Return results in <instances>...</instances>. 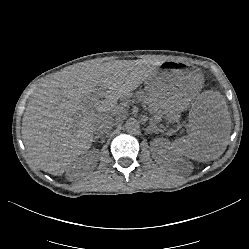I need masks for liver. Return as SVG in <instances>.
Masks as SVG:
<instances>
[{
    "instance_id": "obj_1",
    "label": "liver",
    "mask_w": 249,
    "mask_h": 249,
    "mask_svg": "<svg viewBox=\"0 0 249 249\" xmlns=\"http://www.w3.org/2000/svg\"><path fill=\"white\" fill-rule=\"evenodd\" d=\"M152 76L148 67H69L35 86L22 118L23 142L33 164L55 176L76 171L75 159L86 153L93 142L92 125L102 115L117 108L118 100L130 95ZM104 100L96 101L95 94ZM162 92H150L166 114L179 122L188 104L174 107L160 98ZM96 102L95 110H87ZM190 134L175 140L172 155H185L201 162L219 158L229 142L231 118L224 98L206 91L198 96L189 111Z\"/></svg>"
}]
</instances>
